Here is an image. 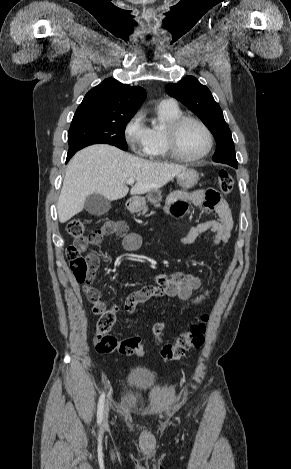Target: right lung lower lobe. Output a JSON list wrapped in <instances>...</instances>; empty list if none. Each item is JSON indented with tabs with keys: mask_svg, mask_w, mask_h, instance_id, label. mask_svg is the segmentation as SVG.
<instances>
[{
	"mask_svg": "<svg viewBox=\"0 0 291 469\" xmlns=\"http://www.w3.org/2000/svg\"><path fill=\"white\" fill-rule=\"evenodd\" d=\"M76 152H77V151L68 152L66 162H68V161L70 160V158H71Z\"/></svg>",
	"mask_w": 291,
	"mask_h": 469,
	"instance_id": "98d812e1",
	"label": "right lung lower lobe"
}]
</instances>
